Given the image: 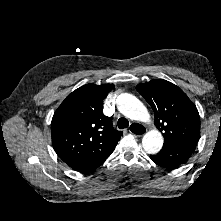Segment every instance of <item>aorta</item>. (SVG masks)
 Masks as SVG:
<instances>
[{"instance_id":"762f6f07","label":"aorta","mask_w":221,"mask_h":221,"mask_svg":"<svg viewBox=\"0 0 221 221\" xmlns=\"http://www.w3.org/2000/svg\"><path fill=\"white\" fill-rule=\"evenodd\" d=\"M117 108L126 117L148 122L150 120V115L143 103L132 94L123 93L117 98ZM163 136L156 130H150L142 138V146L145 152L148 154L158 153L163 146Z\"/></svg>"}]
</instances>
